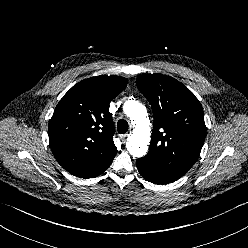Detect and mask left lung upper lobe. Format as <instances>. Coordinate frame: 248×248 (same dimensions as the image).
Wrapping results in <instances>:
<instances>
[{
  "instance_id": "1",
  "label": "left lung upper lobe",
  "mask_w": 248,
  "mask_h": 248,
  "mask_svg": "<svg viewBox=\"0 0 248 248\" xmlns=\"http://www.w3.org/2000/svg\"><path fill=\"white\" fill-rule=\"evenodd\" d=\"M137 87L152 106L151 167L179 179L197 161L206 136L203 109L182 83L162 74L140 75Z\"/></svg>"
}]
</instances>
